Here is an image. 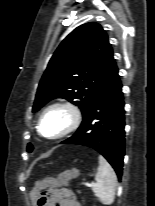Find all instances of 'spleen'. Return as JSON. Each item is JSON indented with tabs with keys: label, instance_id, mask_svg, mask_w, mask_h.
Segmentation results:
<instances>
[{
	"label": "spleen",
	"instance_id": "1",
	"mask_svg": "<svg viewBox=\"0 0 155 206\" xmlns=\"http://www.w3.org/2000/svg\"><path fill=\"white\" fill-rule=\"evenodd\" d=\"M117 177L103 156H99V167L95 175V183L92 186L94 195L104 205H111L115 199Z\"/></svg>",
	"mask_w": 155,
	"mask_h": 206
}]
</instances>
